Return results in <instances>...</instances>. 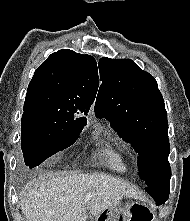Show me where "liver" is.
<instances>
[{"instance_id":"obj_1","label":"liver","mask_w":190,"mask_h":221,"mask_svg":"<svg viewBox=\"0 0 190 221\" xmlns=\"http://www.w3.org/2000/svg\"><path fill=\"white\" fill-rule=\"evenodd\" d=\"M92 193L91 199L86 196ZM138 198L127 182L107 174L48 172L31 183L21 199L26 221H86L120 204L123 197Z\"/></svg>"}]
</instances>
